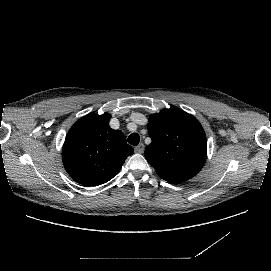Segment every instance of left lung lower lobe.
I'll return each mask as SVG.
<instances>
[{
    "label": "left lung lower lobe",
    "instance_id": "obj_1",
    "mask_svg": "<svg viewBox=\"0 0 271 271\" xmlns=\"http://www.w3.org/2000/svg\"><path fill=\"white\" fill-rule=\"evenodd\" d=\"M163 178V177H161ZM164 180L168 181V182H171V183H179V182H183V181H186L188 179H184L182 177H177V176H168L166 178H163Z\"/></svg>",
    "mask_w": 271,
    "mask_h": 271
}]
</instances>
